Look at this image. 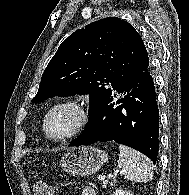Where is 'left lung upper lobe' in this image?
Listing matches in <instances>:
<instances>
[{
  "label": "left lung upper lobe",
  "instance_id": "1",
  "mask_svg": "<svg viewBox=\"0 0 189 195\" xmlns=\"http://www.w3.org/2000/svg\"><path fill=\"white\" fill-rule=\"evenodd\" d=\"M148 67L147 50L135 28L117 17H107L78 29L59 46L32 102L89 94L91 118L114 90Z\"/></svg>",
  "mask_w": 189,
  "mask_h": 195
}]
</instances>
